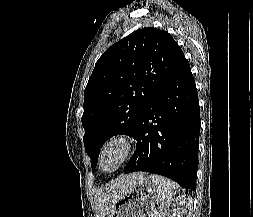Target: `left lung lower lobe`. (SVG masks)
I'll return each mask as SVG.
<instances>
[{
    "label": "left lung lower lobe",
    "mask_w": 253,
    "mask_h": 217,
    "mask_svg": "<svg viewBox=\"0 0 253 217\" xmlns=\"http://www.w3.org/2000/svg\"><path fill=\"white\" fill-rule=\"evenodd\" d=\"M199 110L194 77L185 59L138 120L132 135L137 141L136 150L124 173L160 174L195 191Z\"/></svg>",
    "instance_id": "obj_1"
}]
</instances>
